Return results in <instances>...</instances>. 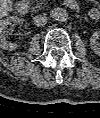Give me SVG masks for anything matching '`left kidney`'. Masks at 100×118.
Instances as JSON below:
<instances>
[{"label": "left kidney", "mask_w": 100, "mask_h": 118, "mask_svg": "<svg viewBox=\"0 0 100 118\" xmlns=\"http://www.w3.org/2000/svg\"><path fill=\"white\" fill-rule=\"evenodd\" d=\"M98 39H99V34L97 32L94 33L90 39L91 47L95 52L99 50V43L97 41Z\"/></svg>", "instance_id": "1"}]
</instances>
